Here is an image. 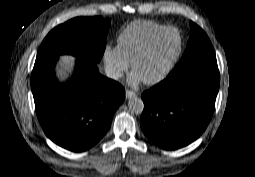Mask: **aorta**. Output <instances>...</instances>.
Listing matches in <instances>:
<instances>
[{
    "instance_id": "obj_1",
    "label": "aorta",
    "mask_w": 255,
    "mask_h": 177,
    "mask_svg": "<svg viewBox=\"0 0 255 177\" xmlns=\"http://www.w3.org/2000/svg\"><path fill=\"white\" fill-rule=\"evenodd\" d=\"M128 108L131 113L139 115L144 110V103L141 98L133 97L128 101Z\"/></svg>"
}]
</instances>
